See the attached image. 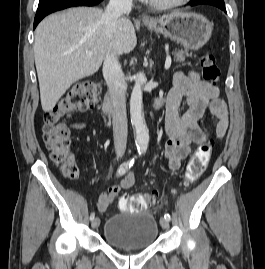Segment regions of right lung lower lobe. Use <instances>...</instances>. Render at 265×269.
Returning a JSON list of instances; mask_svg holds the SVG:
<instances>
[{
    "instance_id": "obj_1",
    "label": "right lung lower lobe",
    "mask_w": 265,
    "mask_h": 269,
    "mask_svg": "<svg viewBox=\"0 0 265 269\" xmlns=\"http://www.w3.org/2000/svg\"><path fill=\"white\" fill-rule=\"evenodd\" d=\"M103 0H39L37 13L34 20V29L37 24L48 14L72 6H93Z\"/></svg>"
}]
</instances>
